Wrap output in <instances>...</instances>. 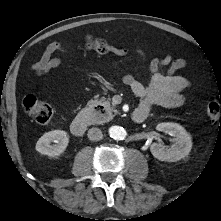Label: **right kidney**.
Listing matches in <instances>:
<instances>
[{"instance_id": "obj_1", "label": "right kidney", "mask_w": 221, "mask_h": 221, "mask_svg": "<svg viewBox=\"0 0 221 221\" xmlns=\"http://www.w3.org/2000/svg\"><path fill=\"white\" fill-rule=\"evenodd\" d=\"M51 142L56 144L50 145ZM69 143V137L63 130H53L43 134L36 143V150L51 157L58 156L64 152Z\"/></svg>"}]
</instances>
